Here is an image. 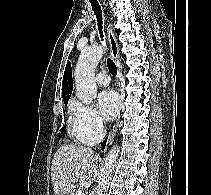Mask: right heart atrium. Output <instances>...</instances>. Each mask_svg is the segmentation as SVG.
Here are the masks:
<instances>
[{
    "mask_svg": "<svg viewBox=\"0 0 211 195\" xmlns=\"http://www.w3.org/2000/svg\"><path fill=\"white\" fill-rule=\"evenodd\" d=\"M71 113L75 132L80 141L93 144L101 139L104 134V122L96 110L75 102L72 104Z\"/></svg>",
    "mask_w": 211,
    "mask_h": 195,
    "instance_id": "obj_1",
    "label": "right heart atrium"
}]
</instances>
